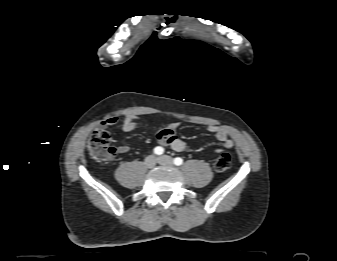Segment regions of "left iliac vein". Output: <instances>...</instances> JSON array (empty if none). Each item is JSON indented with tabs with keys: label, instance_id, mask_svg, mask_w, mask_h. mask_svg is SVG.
Masks as SVG:
<instances>
[{
	"label": "left iliac vein",
	"instance_id": "left-iliac-vein-1",
	"mask_svg": "<svg viewBox=\"0 0 337 261\" xmlns=\"http://www.w3.org/2000/svg\"><path fill=\"white\" fill-rule=\"evenodd\" d=\"M158 163L161 165H166V166H172L173 165V159L170 156L167 155H162L158 157Z\"/></svg>",
	"mask_w": 337,
	"mask_h": 261
}]
</instances>
